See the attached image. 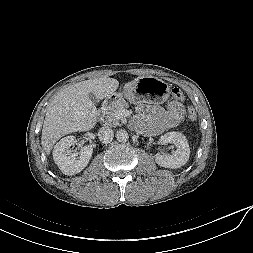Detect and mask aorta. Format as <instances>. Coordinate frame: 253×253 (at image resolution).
Returning a JSON list of instances; mask_svg holds the SVG:
<instances>
[{
	"mask_svg": "<svg viewBox=\"0 0 253 253\" xmlns=\"http://www.w3.org/2000/svg\"><path fill=\"white\" fill-rule=\"evenodd\" d=\"M129 138V135L127 133V131L121 129L119 131H117L116 133V139L119 141V142H126Z\"/></svg>",
	"mask_w": 253,
	"mask_h": 253,
	"instance_id": "obj_1",
	"label": "aorta"
}]
</instances>
